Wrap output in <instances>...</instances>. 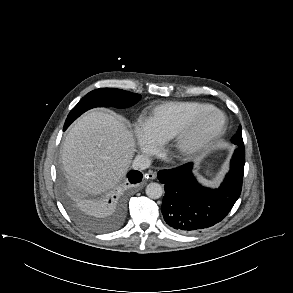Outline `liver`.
Wrapping results in <instances>:
<instances>
[{
	"label": "liver",
	"instance_id": "6515ba94",
	"mask_svg": "<svg viewBox=\"0 0 293 293\" xmlns=\"http://www.w3.org/2000/svg\"><path fill=\"white\" fill-rule=\"evenodd\" d=\"M135 139L122 118L93 111L68 132L62 164L70 184L81 192L98 194L114 187L127 173Z\"/></svg>",
	"mask_w": 293,
	"mask_h": 293
}]
</instances>
